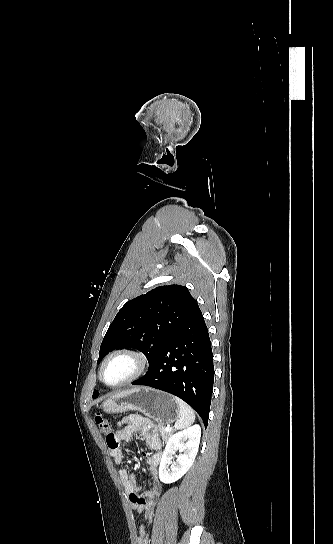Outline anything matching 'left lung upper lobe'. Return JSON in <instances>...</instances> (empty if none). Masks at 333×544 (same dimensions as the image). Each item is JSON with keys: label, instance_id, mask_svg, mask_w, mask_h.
I'll return each instance as SVG.
<instances>
[{"label": "left lung upper lobe", "instance_id": "obj_1", "mask_svg": "<svg viewBox=\"0 0 333 544\" xmlns=\"http://www.w3.org/2000/svg\"><path fill=\"white\" fill-rule=\"evenodd\" d=\"M195 305L188 289L180 285L159 286L126 302L106 332L98 363L115 349L131 347L146 355L150 367ZM98 396L95 390L93 398Z\"/></svg>", "mask_w": 333, "mask_h": 544}]
</instances>
